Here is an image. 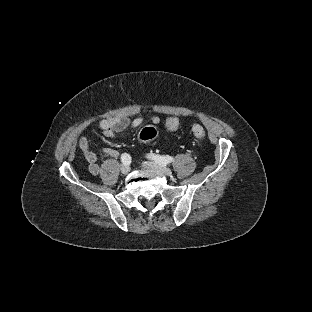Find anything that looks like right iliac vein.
I'll return each instance as SVG.
<instances>
[{
    "label": "right iliac vein",
    "instance_id": "obj_1",
    "mask_svg": "<svg viewBox=\"0 0 312 312\" xmlns=\"http://www.w3.org/2000/svg\"><path fill=\"white\" fill-rule=\"evenodd\" d=\"M130 172V167L129 165H122L121 167V173L123 175H127Z\"/></svg>",
    "mask_w": 312,
    "mask_h": 312
}]
</instances>
